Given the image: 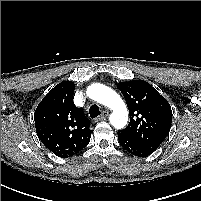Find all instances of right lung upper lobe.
Returning <instances> with one entry per match:
<instances>
[{
    "label": "right lung upper lobe",
    "instance_id": "cb5924a9",
    "mask_svg": "<svg viewBox=\"0 0 201 201\" xmlns=\"http://www.w3.org/2000/svg\"><path fill=\"white\" fill-rule=\"evenodd\" d=\"M74 82L57 84L39 103L35 114L36 132L41 142L59 157L81 151L93 132L81 108L73 102Z\"/></svg>",
    "mask_w": 201,
    "mask_h": 201
}]
</instances>
